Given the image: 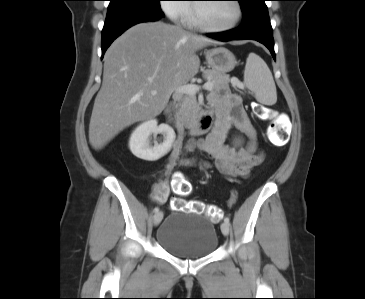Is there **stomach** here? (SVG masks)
<instances>
[{
	"label": "stomach",
	"mask_w": 365,
	"mask_h": 299,
	"mask_svg": "<svg viewBox=\"0 0 365 299\" xmlns=\"http://www.w3.org/2000/svg\"><path fill=\"white\" fill-rule=\"evenodd\" d=\"M205 57L209 67L224 74L232 71L237 64L234 54L224 47L206 50Z\"/></svg>",
	"instance_id": "0dacf381"
}]
</instances>
